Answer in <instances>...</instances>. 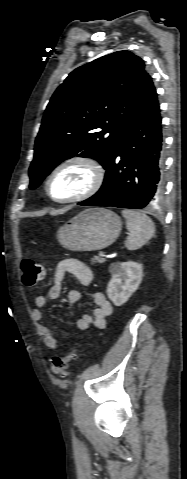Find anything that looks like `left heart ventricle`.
I'll list each match as a JSON object with an SVG mask.
<instances>
[{"label":"left heart ventricle","mask_w":187,"mask_h":479,"mask_svg":"<svg viewBox=\"0 0 187 479\" xmlns=\"http://www.w3.org/2000/svg\"><path fill=\"white\" fill-rule=\"evenodd\" d=\"M90 181L89 170L82 165H72L61 171L50 184V193L58 199L72 197L84 190Z\"/></svg>","instance_id":"obj_1"}]
</instances>
